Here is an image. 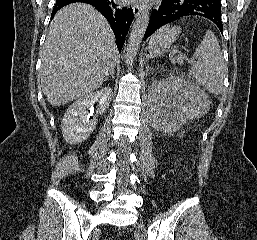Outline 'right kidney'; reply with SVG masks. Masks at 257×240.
<instances>
[{
	"instance_id": "1",
	"label": "right kidney",
	"mask_w": 257,
	"mask_h": 240,
	"mask_svg": "<svg viewBox=\"0 0 257 240\" xmlns=\"http://www.w3.org/2000/svg\"><path fill=\"white\" fill-rule=\"evenodd\" d=\"M113 91L110 87L87 94L76 100L66 111L61 125L62 134L69 144H77L86 140L94 130L97 119H90L88 110H93V105L99 103L96 115L104 113L109 107Z\"/></svg>"
}]
</instances>
